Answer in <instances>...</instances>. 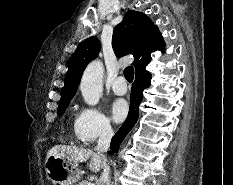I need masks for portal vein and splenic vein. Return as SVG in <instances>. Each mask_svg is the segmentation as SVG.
Segmentation results:
<instances>
[{"instance_id": "1", "label": "portal vein and splenic vein", "mask_w": 233, "mask_h": 185, "mask_svg": "<svg viewBox=\"0 0 233 185\" xmlns=\"http://www.w3.org/2000/svg\"><path fill=\"white\" fill-rule=\"evenodd\" d=\"M87 185H95L94 183H90V182H88V184Z\"/></svg>"}]
</instances>
